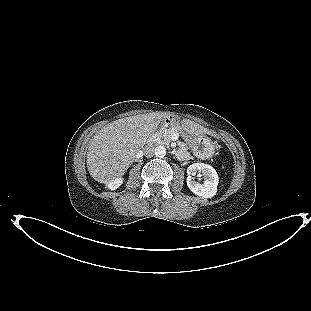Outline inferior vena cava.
Here are the masks:
<instances>
[{
    "instance_id": "602c4592",
    "label": "inferior vena cava",
    "mask_w": 311,
    "mask_h": 311,
    "mask_svg": "<svg viewBox=\"0 0 311 311\" xmlns=\"http://www.w3.org/2000/svg\"><path fill=\"white\" fill-rule=\"evenodd\" d=\"M144 155L146 157H152L154 155V146H153V144H147L144 147Z\"/></svg>"
}]
</instances>
